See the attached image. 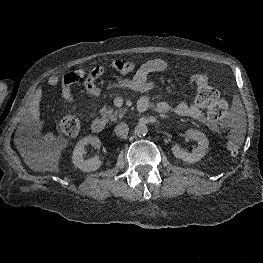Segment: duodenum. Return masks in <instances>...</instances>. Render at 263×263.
<instances>
[{"mask_svg": "<svg viewBox=\"0 0 263 263\" xmlns=\"http://www.w3.org/2000/svg\"><path fill=\"white\" fill-rule=\"evenodd\" d=\"M148 106L143 103V102H139L138 105H137V111L139 113H143L147 110ZM105 129V122L103 119L101 118H96L92 121L91 123V130L94 132V133H101L103 132Z\"/></svg>", "mask_w": 263, "mask_h": 263, "instance_id": "obj_1", "label": "duodenum"}]
</instances>
